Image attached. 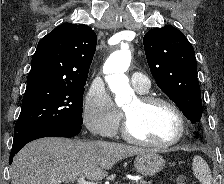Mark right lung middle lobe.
<instances>
[{
	"label": "right lung middle lobe",
	"mask_w": 224,
	"mask_h": 184,
	"mask_svg": "<svg viewBox=\"0 0 224 184\" xmlns=\"http://www.w3.org/2000/svg\"><path fill=\"white\" fill-rule=\"evenodd\" d=\"M84 85L37 82L28 84L14 137L24 130L48 124L81 126Z\"/></svg>",
	"instance_id": "right-lung-middle-lobe-1"
}]
</instances>
